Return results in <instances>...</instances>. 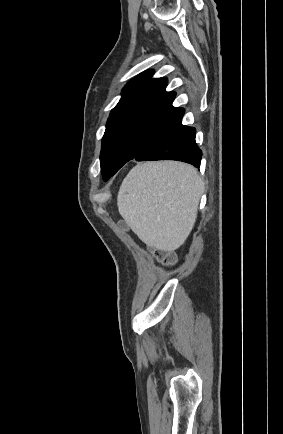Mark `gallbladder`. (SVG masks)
I'll list each match as a JSON object with an SVG mask.
<instances>
[{
  "label": "gallbladder",
  "instance_id": "gallbladder-1",
  "mask_svg": "<svg viewBox=\"0 0 283 434\" xmlns=\"http://www.w3.org/2000/svg\"><path fill=\"white\" fill-rule=\"evenodd\" d=\"M120 226L128 230V224L126 222H120Z\"/></svg>",
  "mask_w": 283,
  "mask_h": 434
}]
</instances>
